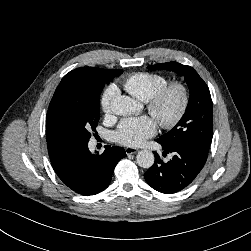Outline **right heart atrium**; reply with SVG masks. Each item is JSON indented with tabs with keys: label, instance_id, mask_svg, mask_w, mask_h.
Here are the masks:
<instances>
[{
	"label": "right heart atrium",
	"instance_id": "obj_1",
	"mask_svg": "<svg viewBox=\"0 0 251 251\" xmlns=\"http://www.w3.org/2000/svg\"><path fill=\"white\" fill-rule=\"evenodd\" d=\"M118 95V90L115 86L108 87L101 96L100 106L103 113L109 115L111 113L112 102Z\"/></svg>",
	"mask_w": 251,
	"mask_h": 251
}]
</instances>
